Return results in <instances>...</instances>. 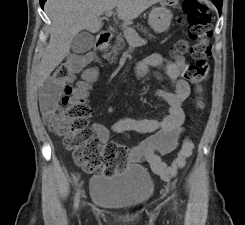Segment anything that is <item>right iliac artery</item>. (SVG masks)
Returning <instances> with one entry per match:
<instances>
[{
  "mask_svg": "<svg viewBox=\"0 0 245 225\" xmlns=\"http://www.w3.org/2000/svg\"><path fill=\"white\" fill-rule=\"evenodd\" d=\"M79 201H80V190L77 189L75 199H74V208L77 209L79 206Z\"/></svg>",
  "mask_w": 245,
  "mask_h": 225,
  "instance_id": "1",
  "label": "right iliac artery"
}]
</instances>
